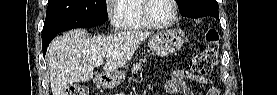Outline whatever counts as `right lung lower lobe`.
Segmentation results:
<instances>
[{"label": "right lung lower lobe", "instance_id": "1", "mask_svg": "<svg viewBox=\"0 0 277 95\" xmlns=\"http://www.w3.org/2000/svg\"><path fill=\"white\" fill-rule=\"evenodd\" d=\"M56 35H49L46 37H42V47H43V54L45 56V53L47 51V47L49 45V43L51 42V40L55 37Z\"/></svg>", "mask_w": 277, "mask_h": 95}]
</instances>
